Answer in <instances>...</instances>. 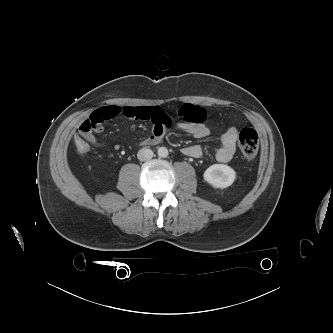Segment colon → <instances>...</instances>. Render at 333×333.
I'll use <instances>...</instances> for the list:
<instances>
[{"mask_svg":"<svg viewBox=\"0 0 333 333\" xmlns=\"http://www.w3.org/2000/svg\"><path fill=\"white\" fill-rule=\"evenodd\" d=\"M239 148L243 156L252 160L256 157L259 148V138L257 132L252 128H243L238 136ZM74 145L78 152L85 153L89 149L87 139L81 136L74 138Z\"/></svg>","mask_w":333,"mask_h":333,"instance_id":"obj_1","label":"colon"}]
</instances>
